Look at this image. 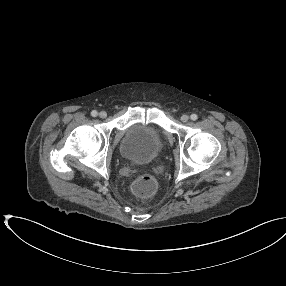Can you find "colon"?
<instances>
[{
  "label": "colon",
  "mask_w": 286,
  "mask_h": 286,
  "mask_svg": "<svg viewBox=\"0 0 286 286\" xmlns=\"http://www.w3.org/2000/svg\"><path fill=\"white\" fill-rule=\"evenodd\" d=\"M157 182L151 175L139 177L133 184V192L140 197H149L155 193Z\"/></svg>",
  "instance_id": "obj_1"
}]
</instances>
